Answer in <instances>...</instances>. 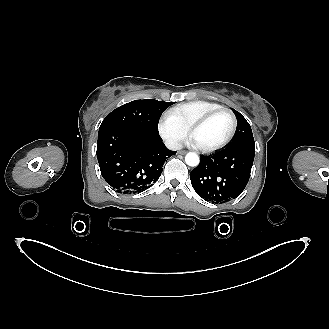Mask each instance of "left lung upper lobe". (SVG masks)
Segmentation results:
<instances>
[{"label":"left lung upper lobe","mask_w":329,"mask_h":329,"mask_svg":"<svg viewBox=\"0 0 329 329\" xmlns=\"http://www.w3.org/2000/svg\"><path fill=\"white\" fill-rule=\"evenodd\" d=\"M237 118V128L232 142L226 147L236 145H255L251 127L247 120L236 110L232 109Z\"/></svg>","instance_id":"1"}]
</instances>
